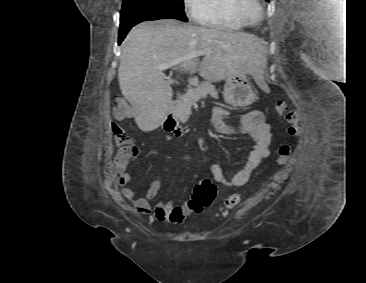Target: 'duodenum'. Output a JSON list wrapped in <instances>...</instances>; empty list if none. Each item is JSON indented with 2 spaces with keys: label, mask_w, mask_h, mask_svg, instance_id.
I'll list each match as a JSON object with an SVG mask.
<instances>
[{
  "label": "duodenum",
  "mask_w": 366,
  "mask_h": 283,
  "mask_svg": "<svg viewBox=\"0 0 366 283\" xmlns=\"http://www.w3.org/2000/svg\"><path fill=\"white\" fill-rule=\"evenodd\" d=\"M164 129L166 131L172 132L175 135H180V127H179V121L176 118L173 109H170L165 117L164 120Z\"/></svg>",
  "instance_id": "duodenum-1"
}]
</instances>
